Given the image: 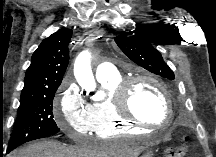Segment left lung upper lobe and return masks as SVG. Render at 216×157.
Masks as SVG:
<instances>
[{"label": "left lung upper lobe", "instance_id": "left-lung-upper-lobe-1", "mask_svg": "<svg viewBox=\"0 0 216 157\" xmlns=\"http://www.w3.org/2000/svg\"><path fill=\"white\" fill-rule=\"evenodd\" d=\"M115 42L122 52L139 66L164 78L170 80L175 78L161 53L152 46L154 41L149 34L135 33L129 37L117 36Z\"/></svg>", "mask_w": 216, "mask_h": 157}]
</instances>
